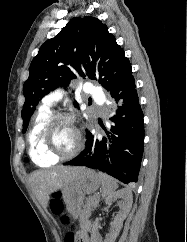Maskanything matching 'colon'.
<instances>
[{
  "instance_id": "obj_1",
  "label": "colon",
  "mask_w": 187,
  "mask_h": 242,
  "mask_svg": "<svg viewBox=\"0 0 187 242\" xmlns=\"http://www.w3.org/2000/svg\"><path fill=\"white\" fill-rule=\"evenodd\" d=\"M51 210L56 215H62L63 213V203L59 199L58 195H56L50 203ZM63 223H68L69 220L67 217L62 218ZM78 238L73 232H69L65 237V242H78Z\"/></svg>"
}]
</instances>
